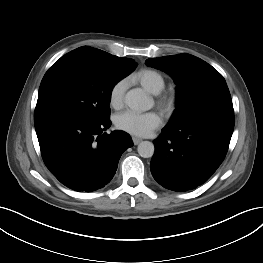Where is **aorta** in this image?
I'll use <instances>...</instances> for the list:
<instances>
[{
  "instance_id": "obj_1",
  "label": "aorta",
  "mask_w": 263,
  "mask_h": 263,
  "mask_svg": "<svg viewBox=\"0 0 263 263\" xmlns=\"http://www.w3.org/2000/svg\"><path fill=\"white\" fill-rule=\"evenodd\" d=\"M126 105L134 111H147L151 107V101L148 96L140 89H132L125 95ZM154 144L150 141L139 143L137 151L143 158H150L154 154Z\"/></svg>"
}]
</instances>
